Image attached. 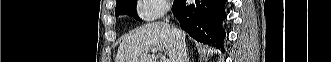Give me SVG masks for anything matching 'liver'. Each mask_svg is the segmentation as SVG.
Masks as SVG:
<instances>
[{"label":"liver","mask_w":331,"mask_h":62,"mask_svg":"<svg viewBox=\"0 0 331 62\" xmlns=\"http://www.w3.org/2000/svg\"><path fill=\"white\" fill-rule=\"evenodd\" d=\"M185 33L163 22L149 23L127 35L119 46L115 62H156L152 48H166L171 62L176 60V38Z\"/></svg>","instance_id":"liver-1"}]
</instances>
